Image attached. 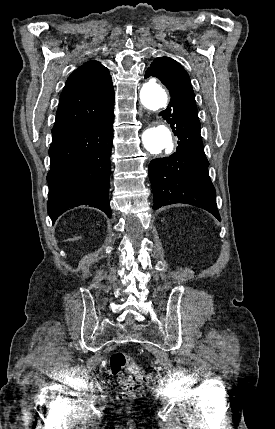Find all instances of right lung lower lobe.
Returning a JSON list of instances; mask_svg holds the SVG:
<instances>
[{"mask_svg":"<svg viewBox=\"0 0 275 429\" xmlns=\"http://www.w3.org/2000/svg\"><path fill=\"white\" fill-rule=\"evenodd\" d=\"M113 122L114 113L53 134L47 175V208L53 222L68 208L79 205L98 208L111 217L108 187Z\"/></svg>","mask_w":275,"mask_h":429,"instance_id":"right-lung-lower-lobe-1","label":"right lung lower lobe"}]
</instances>
